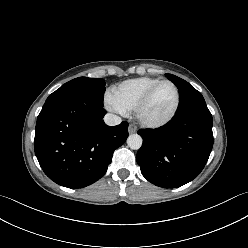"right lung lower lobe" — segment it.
Instances as JSON below:
<instances>
[{
	"label": "right lung lower lobe",
	"mask_w": 248,
	"mask_h": 248,
	"mask_svg": "<svg viewBox=\"0 0 248 248\" xmlns=\"http://www.w3.org/2000/svg\"><path fill=\"white\" fill-rule=\"evenodd\" d=\"M106 110L85 98L46 101L37 117L34 150L44 173L68 188L100 179L115 149L128 137V123L108 126Z\"/></svg>",
	"instance_id": "1"
}]
</instances>
